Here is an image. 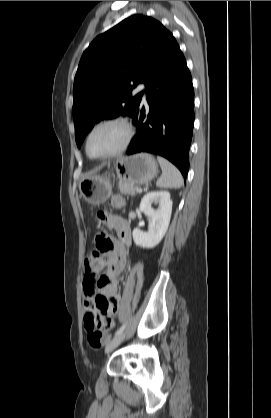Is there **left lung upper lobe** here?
<instances>
[{
	"instance_id": "obj_1",
	"label": "left lung upper lobe",
	"mask_w": 271,
	"mask_h": 418,
	"mask_svg": "<svg viewBox=\"0 0 271 418\" xmlns=\"http://www.w3.org/2000/svg\"><path fill=\"white\" fill-rule=\"evenodd\" d=\"M173 35L157 20L133 15L96 37L80 60L73 86L75 139L80 148L95 123L139 109L142 92Z\"/></svg>"
}]
</instances>
